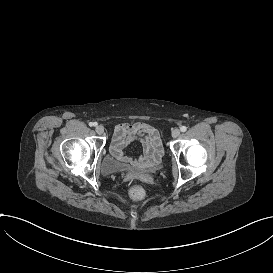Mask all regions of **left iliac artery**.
Wrapping results in <instances>:
<instances>
[{
    "label": "left iliac artery",
    "instance_id": "1",
    "mask_svg": "<svg viewBox=\"0 0 273 273\" xmlns=\"http://www.w3.org/2000/svg\"><path fill=\"white\" fill-rule=\"evenodd\" d=\"M180 130H181V132H185L187 130V127L186 126H181Z\"/></svg>",
    "mask_w": 273,
    "mask_h": 273
}]
</instances>
